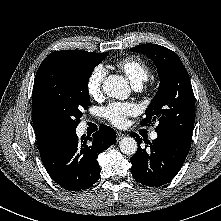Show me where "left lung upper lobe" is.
I'll return each mask as SVG.
<instances>
[{
    "instance_id": "obj_1",
    "label": "left lung upper lobe",
    "mask_w": 221,
    "mask_h": 221,
    "mask_svg": "<svg viewBox=\"0 0 221 221\" xmlns=\"http://www.w3.org/2000/svg\"><path fill=\"white\" fill-rule=\"evenodd\" d=\"M149 56L157 67L160 85L141 122H157L156 132L192 138L195 122V98L189 75L180 58L157 44H143L131 49Z\"/></svg>"
}]
</instances>
